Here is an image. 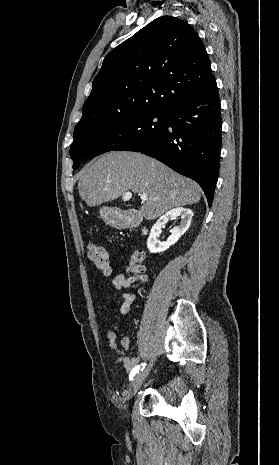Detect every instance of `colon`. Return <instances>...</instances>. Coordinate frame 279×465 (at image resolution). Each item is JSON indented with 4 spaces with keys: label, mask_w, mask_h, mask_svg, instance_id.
Listing matches in <instances>:
<instances>
[{
    "label": "colon",
    "mask_w": 279,
    "mask_h": 465,
    "mask_svg": "<svg viewBox=\"0 0 279 465\" xmlns=\"http://www.w3.org/2000/svg\"><path fill=\"white\" fill-rule=\"evenodd\" d=\"M88 258L93 263V265L104 272L105 274H110V260L107 251L99 243H90L88 245ZM144 259V254L140 250H136L131 254L130 265L128 267V272L130 274V281H144L146 279L145 269L142 264Z\"/></svg>",
    "instance_id": "1"
}]
</instances>
